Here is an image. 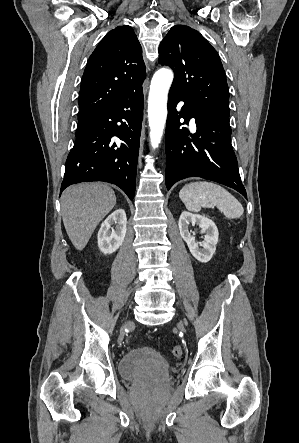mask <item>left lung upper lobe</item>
<instances>
[{
    "instance_id": "left-lung-upper-lobe-1",
    "label": "left lung upper lobe",
    "mask_w": 299,
    "mask_h": 443,
    "mask_svg": "<svg viewBox=\"0 0 299 443\" xmlns=\"http://www.w3.org/2000/svg\"><path fill=\"white\" fill-rule=\"evenodd\" d=\"M159 63L174 71L171 91L229 123L226 75L215 49L196 30L176 25L159 46Z\"/></svg>"
}]
</instances>
